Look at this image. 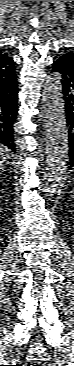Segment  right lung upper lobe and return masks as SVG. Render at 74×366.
Segmentation results:
<instances>
[{
    "mask_svg": "<svg viewBox=\"0 0 74 366\" xmlns=\"http://www.w3.org/2000/svg\"><path fill=\"white\" fill-rule=\"evenodd\" d=\"M13 59L0 48V84H8L16 78Z\"/></svg>",
    "mask_w": 74,
    "mask_h": 366,
    "instance_id": "1",
    "label": "right lung upper lobe"
}]
</instances>
